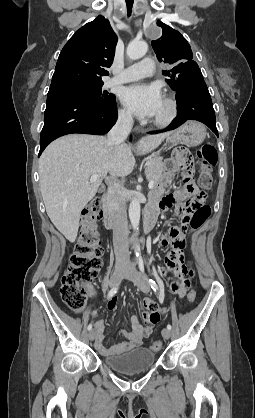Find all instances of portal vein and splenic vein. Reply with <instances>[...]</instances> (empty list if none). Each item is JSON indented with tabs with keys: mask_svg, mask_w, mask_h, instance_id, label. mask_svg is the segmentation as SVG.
I'll return each instance as SVG.
<instances>
[{
	"mask_svg": "<svg viewBox=\"0 0 255 418\" xmlns=\"http://www.w3.org/2000/svg\"><path fill=\"white\" fill-rule=\"evenodd\" d=\"M97 179H98V175H92L90 178V182H95ZM106 179L108 180V177H106ZM153 186H154V181L150 180L148 184L149 189H152Z\"/></svg>",
	"mask_w": 255,
	"mask_h": 418,
	"instance_id": "18ae733b",
	"label": "portal vein and splenic vein"
}]
</instances>
